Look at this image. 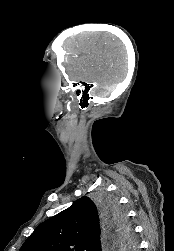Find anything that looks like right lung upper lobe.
I'll use <instances>...</instances> for the list:
<instances>
[{"label":"right lung upper lobe","instance_id":"1","mask_svg":"<svg viewBox=\"0 0 174 251\" xmlns=\"http://www.w3.org/2000/svg\"><path fill=\"white\" fill-rule=\"evenodd\" d=\"M104 218L98 206L81 197L41 223L19 251H101ZM115 244V243H114Z\"/></svg>","mask_w":174,"mask_h":251}]
</instances>
